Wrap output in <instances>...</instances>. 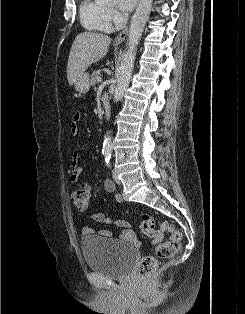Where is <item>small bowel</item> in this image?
<instances>
[{
  "mask_svg": "<svg viewBox=\"0 0 245 314\" xmlns=\"http://www.w3.org/2000/svg\"><path fill=\"white\" fill-rule=\"evenodd\" d=\"M80 119H81L80 113H76L74 116L73 122L71 123V126H70L71 132L73 134H77V132H78V122L80 121ZM79 158H80L79 152L77 150H74L72 153V156H71L70 181L73 184H79L81 186V188L83 190H86L90 195L92 190H93V186L88 182H82L80 180L81 170L79 167ZM103 188L107 192H115L116 185L111 180L105 179L103 181ZM115 200L117 202H120V203H122L124 201L122 196L119 194L115 195ZM90 217L93 221H95L97 223L114 224V225L122 228V230L119 234V239L122 242L129 243V244H137L138 243V239H137L135 232L129 228V223L126 220L121 219V218L112 219V218L105 216V214H103L101 212L93 213V214H91ZM94 232H95L94 229L90 226H85L83 228V234L84 235H91ZM98 234L101 236H105V237H112V233L108 230H100L98 232Z\"/></svg>",
  "mask_w": 245,
  "mask_h": 314,
  "instance_id": "small-bowel-1",
  "label": "small bowel"
}]
</instances>
